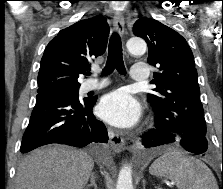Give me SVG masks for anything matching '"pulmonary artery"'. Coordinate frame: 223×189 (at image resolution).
<instances>
[{
  "mask_svg": "<svg viewBox=\"0 0 223 189\" xmlns=\"http://www.w3.org/2000/svg\"><path fill=\"white\" fill-rule=\"evenodd\" d=\"M149 72L145 64H134L131 68V79L134 82H145L148 79ZM106 85V80H89L84 85L85 91L97 90Z\"/></svg>",
  "mask_w": 223,
  "mask_h": 189,
  "instance_id": "e3ab8cb5",
  "label": "pulmonary artery"
}]
</instances>
